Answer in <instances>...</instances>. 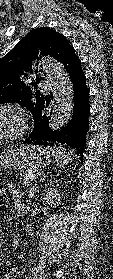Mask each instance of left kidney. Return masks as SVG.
Here are the masks:
<instances>
[{
  "label": "left kidney",
  "instance_id": "left-kidney-1",
  "mask_svg": "<svg viewBox=\"0 0 113 279\" xmlns=\"http://www.w3.org/2000/svg\"><path fill=\"white\" fill-rule=\"evenodd\" d=\"M60 199V193L54 185L48 188L44 194V200L46 201V203L54 207L59 204Z\"/></svg>",
  "mask_w": 113,
  "mask_h": 279
}]
</instances>
